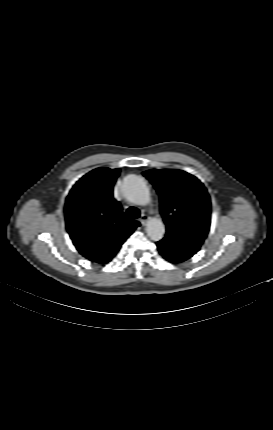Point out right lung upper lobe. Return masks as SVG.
I'll return each instance as SVG.
<instances>
[{"label": "right lung upper lobe", "instance_id": "obj_1", "mask_svg": "<svg viewBox=\"0 0 273 430\" xmlns=\"http://www.w3.org/2000/svg\"><path fill=\"white\" fill-rule=\"evenodd\" d=\"M120 169L97 168L83 176L65 202L67 231L80 254L97 262H108L121 244L140 225L125 221L113 186Z\"/></svg>", "mask_w": 273, "mask_h": 430}]
</instances>
